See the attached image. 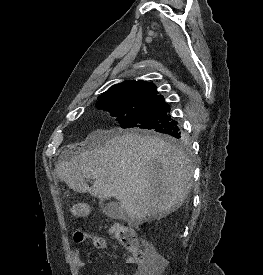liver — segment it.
<instances>
[{"instance_id": "obj_1", "label": "liver", "mask_w": 263, "mask_h": 275, "mask_svg": "<svg viewBox=\"0 0 263 275\" xmlns=\"http://www.w3.org/2000/svg\"><path fill=\"white\" fill-rule=\"evenodd\" d=\"M82 145L86 150L56 165V176L75 192L116 198L130 223L167 216L191 190L189 159L156 135L96 130ZM85 178L94 180L92 187Z\"/></svg>"}]
</instances>
